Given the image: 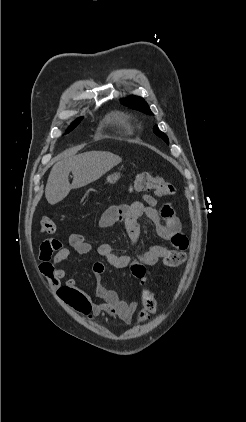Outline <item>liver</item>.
Returning <instances> with one entry per match:
<instances>
[{
  "label": "liver",
  "mask_w": 246,
  "mask_h": 422,
  "mask_svg": "<svg viewBox=\"0 0 246 422\" xmlns=\"http://www.w3.org/2000/svg\"><path fill=\"white\" fill-rule=\"evenodd\" d=\"M121 161V157L103 151H90L58 161L51 169L45 188L48 203L54 205L62 201L71 189L98 180ZM70 172L73 174L72 184L68 180Z\"/></svg>",
  "instance_id": "6515ba94"
}]
</instances>
